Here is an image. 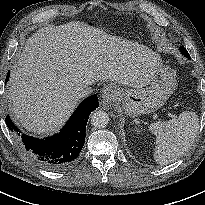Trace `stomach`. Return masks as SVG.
Listing matches in <instances>:
<instances>
[{
  "mask_svg": "<svg viewBox=\"0 0 205 205\" xmlns=\"http://www.w3.org/2000/svg\"><path fill=\"white\" fill-rule=\"evenodd\" d=\"M176 88V75L168 67L159 65L149 86L141 89L115 87L116 99L122 102L124 112L135 117L151 113L164 105Z\"/></svg>",
  "mask_w": 205,
  "mask_h": 205,
  "instance_id": "obj_1",
  "label": "stomach"
}]
</instances>
